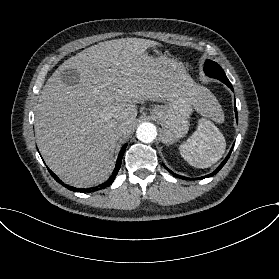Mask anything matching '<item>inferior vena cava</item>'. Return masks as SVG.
<instances>
[{"label":"inferior vena cava","instance_id":"obj_1","mask_svg":"<svg viewBox=\"0 0 279 279\" xmlns=\"http://www.w3.org/2000/svg\"><path fill=\"white\" fill-rule=\"evenodd\" d=\"M126 127H127V122H124L114 130V133L120 136V134L125 130Z\"/></svg>","mask_w":279,"mask_h":279}]
</instances>
